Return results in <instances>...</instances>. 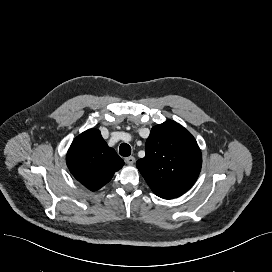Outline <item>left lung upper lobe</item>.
I'll use <instances>...</instances> for the list:
<instances>
[{
	"instance_id": "1",
	"label": "left lung upper lobe",
	"mask_w": 272,
	"mask_h": 272,
	"mask_svg": "<svg viewBox=\"0 0 272 272\" xmlns=\"http://www.w3.org/2000/svg\"><path fill=\"white\" fill-rule=\"evenodd\" d=\"M145 151L136 166L157 196L179 197L198 178L202 166L200 148L191 133L175 121L154 126Z\"/></svg>"
}]
</instances>
